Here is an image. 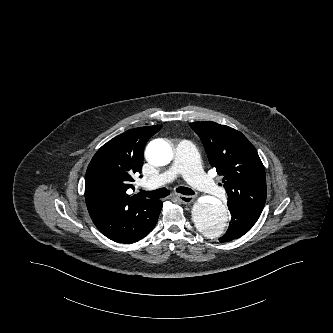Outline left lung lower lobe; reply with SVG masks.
<instances>
[{"label":"left lung lower lobe","mask_w":333,"mask_h":333,"mask_svg":"<svg viewBox=\"0 0 333 333\" xmlns=\"http://www.w3.org/2000/svg\"><path fill=\"white\" fill-rule=\"evenodd\" d=\"M229 210L231 213V221L227 232L219 239L220 242L231 241L243 236L252 228L259 218L257 215L246 213L235 207H231Z\"/></svg>","instance_id":"obj_1"}]
</instances>
